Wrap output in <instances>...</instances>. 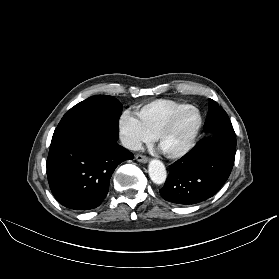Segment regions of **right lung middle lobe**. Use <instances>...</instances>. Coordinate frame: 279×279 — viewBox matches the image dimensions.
I'll use <instances>...</instances> for the list:
<instances>
[{"label": "right lung middle lobe", "instance_id": "obj_1", "mask_svg": "<svg viewBox=\"0 0 279 279\" xmlns=\"http://www.w3.org/2000/svg\"><path fill=\"white\" fill-rule=\"evenodd\" d=\"M121 103L108 95L92 96L72 107L61 119L52 141L104 123L118 124Z\"/></svg>", "mask_w": 279, "mask_h": 279}]
</instances>
